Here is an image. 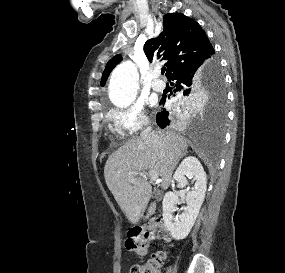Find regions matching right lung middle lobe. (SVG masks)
I'll list each match as a JSON object with an SVG mask.
<instances>
[{
  "mask_svg": "<svg viewBox=\"0 0 285 273\" xmlns=\"http://www.w3.org/2000/svg\"><path fill=\"white\" fill-rule=\"evenodd\" d=\"M213 95V96H219L222 99V103L225 99V93H224V80L223 76L220 71L219 62L216 58L213 59L211 67L208 71L207 77L204 81V83L196 88L191 94L188 96H182L180 95L178 104L182 103H191L193 102V99L196 97V95ZM218 114L221 119H224L225 117V107H219Z\"/></svg>",
  "mask_w": 285,
  "mask_h": 273,
  "instance_id": "obj_1",
  "label": "right lung middle lobe"
}]
</instances>
